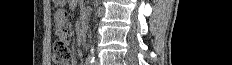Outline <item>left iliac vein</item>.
Returning <instances> with one entry per match:
<instances>
[{
	"instance_id": "4c4485c4",
	"label": "left iliac vein",
	"mask_w": 232,
	"mask_h": 65,
	"mask_svg": "<svg viewBox=\"0 0 232 65\" xmlns=\"http://www.w3.org/2000/svg\"><path fill=\"white\" fill-rule=\"evenodd\" d=\"M95 65H99V63H98V62H96V63H95Z\"/></svg>"
}]
</instances>
